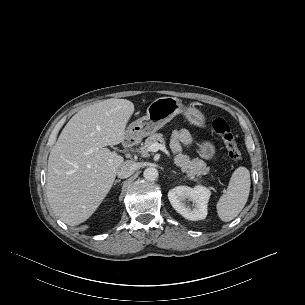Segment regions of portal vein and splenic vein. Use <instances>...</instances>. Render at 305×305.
Instances as JSON below:
<instances>
[{"mask_svg": "<svg viewBox=\"0 0 305 305\" xmlns=\"http://www.w3.org/2000/svg\"><path fill=\"white\" fill-rule=\"evenodd\" d=\"M161 144L159 143H153L150 145V147L148 148V151H151V152H157L159 149H161Z\"/></svg>", "mask_w": 305, "mask_h": 305, "instance_id": "1", "label": "portal vein and splenic vein"}]
</instances>
